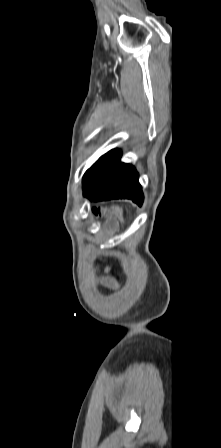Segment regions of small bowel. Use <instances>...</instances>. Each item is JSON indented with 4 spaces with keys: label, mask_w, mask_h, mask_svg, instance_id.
<instances>
[{
    "label": "small bowel",
    "mask_w": 221,
    "mask_h": 448,
    "mask_svg": "<svg viewBox=\"0 0 221 448\" xmlns=\"http://www.w3.org/2000/svg\"><path fill=\"white\" fill-rule=\"evenodd\" d=\"M103 284H104L106 287H110V288L116 286V282H115V280H114L113 278H111L110 276H107V277H105V278L103 279Z\"/></svg>",
    "instance_id": "c3829d8e"
}]
</instances>
